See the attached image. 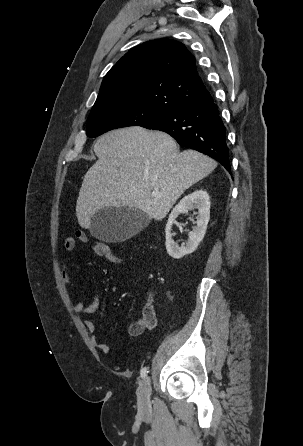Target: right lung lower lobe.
Returning a JSON list of instances; mask_svg holds the SVG:
<instances>
[{
  "label": "right lung lower lobe",
  "instance_id": "obj_1",
  "mask_svg": "<svg viewBox=\"0 0 303 446\" xmlns=\"http://www.w3.org/2000/svg\"><path fill=\"white\" fill-rule=\"evenodd\" d=\"M140 126L164 131L181 146L202 152L231 171L226 130L210 93L182 103Z\"/></svg>",
  "mask_w": 303,
  "mask_h": 446
}]
</instances>
